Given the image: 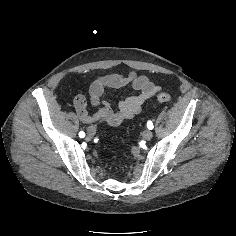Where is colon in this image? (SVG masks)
<instances>
[{
    "label": "colon",
    "instance_id": "5ec220e1",
    "mask_svg": "<svg viewBox=\"0 0 236 236\" xmlns=\"http://www.w3.org/2000/svg\"><path fill=\"white\" fill-rule=\"evenodd\" d=\"M156 99L160 103H166L172 99V96L169 93L160 92L157 94Z\"/></svg>",
    "mask_w": 236,
    "mask_h": 236
}]
</instances>
